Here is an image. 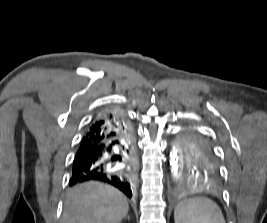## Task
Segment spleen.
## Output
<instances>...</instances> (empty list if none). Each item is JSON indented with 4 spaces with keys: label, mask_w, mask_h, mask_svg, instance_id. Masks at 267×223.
Returning a JSON list of instances; mask_svg holds the SVG:
<instances>
[{
    "label": "spleen",
    "mask_w": 267,
    "mask_h": 223,
    "mask_svg": "<svg viewBox=\"0 0 267 223\" xmlns=\"http://www.w3.org/2000/svg\"><path fill=\"white\" fill-rule=\"evenodd\" d=\"M175 223H225L219 206L204 197L183 200L174 210Z\"/></svg>",
    "instance_id": "spleen-1"
}]
</instances>
